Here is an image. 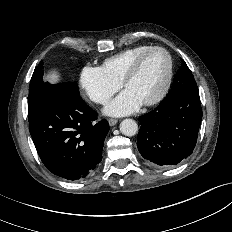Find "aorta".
Returning <instances> with one entry per match:
<instances>
[{
	"label": "aorta",
	"instance_id": "aorta-1",
	"mask_svg": "<svg viewBox=\"0 0 232 232\" xmlns=\"http://www.w3.org/2000/svg\"><path fill=\"white\" fill-rule=\"evenodd\" d=\"M120 131L125 136H134L138 132V125L133 119H125L120 123Z\"/></svg>",
	"mask_w": 232,
	"mask_h": 232
}]
</instances>
